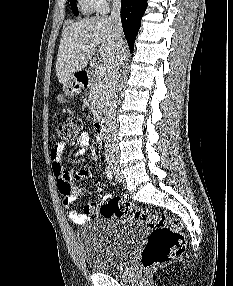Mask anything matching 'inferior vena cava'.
Segmentation results:
<instances>
[{"label":"inferior vena cava","mask_w":233,"mask_h":286,"mask_svg":"<svg viewBox=\"0 0 233 286\" xmlns=\"http://www.w3.org/2000/svg\"><path fill=\"white\" fill-rule=\"evenodd\" d=\"M112 11L110 19L115 23L117 28V43L115 50V58L112 61L108 69V80L106 82L107 95H106V106L108 108L106 116V134H107V144L111 145L115 151H118L114 133L117 129L116 124V89L119 78V70L125 60V47L123 42V32L120 20V0H112Z\"/></svg>","instance_id":"1"}]
</instances>
